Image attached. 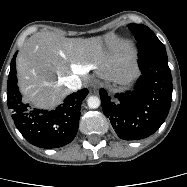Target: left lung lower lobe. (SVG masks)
<instances>
[{"mask_svg": "<svg viewBox=\"0 0 187 187\" xmlns=\"http://www.w3.org/2000/svg\"><path fill=\"white\" fill-rule=\"evenodd\" d=\"M141 76L131 91L113 99L100 90L102 109L124 140H140L155 133L165 121L172 99V76L167 57L139 51Z\"/></svg>", "mask_w": 187, "mask_h": 187, "instance_id": "left-lung-lower-lobe-1", "label": "left lung lower lobe"}]
</instances>
